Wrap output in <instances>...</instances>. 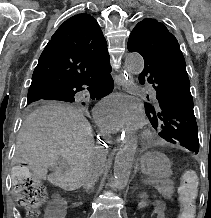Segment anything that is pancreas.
<instances>
[{
    "instance_id": "pancreas-1",
    "label": "pancreas",
    "mask_w": 211,
    "mask_h": 218,
    "mask_svg": "<svg viewBox=\"0 0 211 218\" xmlns=\"http://www.w3.org/2000/svg\"><path fill=\"white\" fill-rule=\"evenodd\" d=\"M156 184H158V186H155V188L158 190L159 194H162L163 198H166V200H172L174 194L172 180H163V182H156Z\"/></svg>"
}]
</instances>
